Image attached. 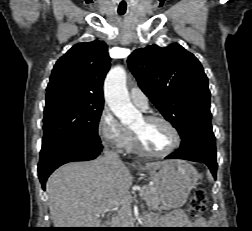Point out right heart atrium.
I'll list each match as a JSON object with an SVG mask.
<instances>
[{
    "mask_svg": "<svg viewBox=\"0 0 252 231\" xmlns=\"http://www.w3.org/2000/svg\"><path fill=\"white\" fill-rule=\"evenodd\" d=\"M97 131L101 140L118 151L126 148L131 135L108 108H104L97 122Z\"/></svg>",
    "mask_w": 252,
    "mask_h": 231,
    "instance_id": "right-heart-atrium-1",
    "label": "right heart atrium"
}]
</instances>
